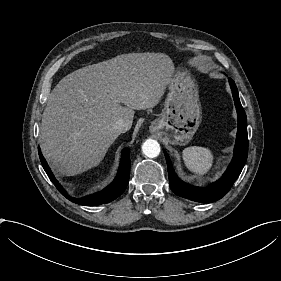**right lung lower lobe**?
Wrapping results in <instances>:
<instances>
[{
  "label": "right lung lower lobe",
  "mask_w": 281,
  "mask_h": 281,
  "mask_svg": "<svg viewBox=\"0 0 281 281\" xmlns=\"http://www.w3.org/2000/svg\"><path fill=\"white\" fill-rule=\"evenodd\" d=\"M39 151V157L40 161L42 163V166L47 173L50 180L54 183L56 188L59 190V192L65 196L68 200L79 204V205H86V206H92V205H101L108 202L113 201L117 197H119L124 190L126 189L128 182H129V175H130V159H129V150L124 149L122 151L121 156V162L119 166V171L114 179V181L107 186L105 189H103L100 192H97L95 194L85 196L82 198H73L67 194V192L64 190V188L59 184V182L55 179L54 175L52 174L47 162L45 161L40 148L38 147Z\"/></svg>",
  "instance_id": "1"
}]
</instances>
